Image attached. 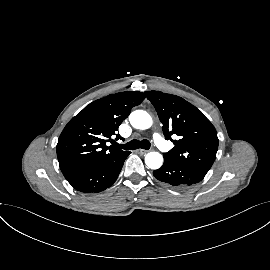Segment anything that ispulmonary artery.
I'll list each match as a JSON object with an SVG mask.
<instances>
[{"label":"pulmonary artery","mask_w":270,"mask_h":270,"mask_svg":"<svg viewBox=\"0 0 270 270\" xmlns=\"http://www.w3.org/2000/svg\"><path fill=\"white\" fill-rule=\"evenodd\" d=\"M153 139L155 144L163 151H168L169 150V145L168 143L158 134L154 133L153 134Z\"/></svg>","instance_id":"obj_1"}]
</instances>
